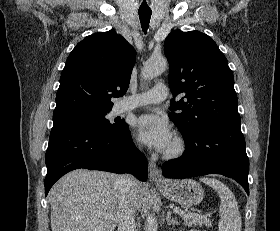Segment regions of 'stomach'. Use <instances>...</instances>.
<instances>
[{
    "label": "stomach",
    "instance_id": "1",
    "mask_svg": "<svg viewBox=\"0 0 280 231\" xmlns=\"http://www.w3.org/2000/svg\"><path fill=\"white\" fill-rule=\"evenodd\" d=\"M158 189L167 199L177 201V203H182L187 207L197 205L204 197L202 185L198 181H194V179H177V181L168 179L167 185L165 187L158 185Z\"/></svg>",
    "mask_w": 280,
    "mask_h": 231
}]
</instances>
